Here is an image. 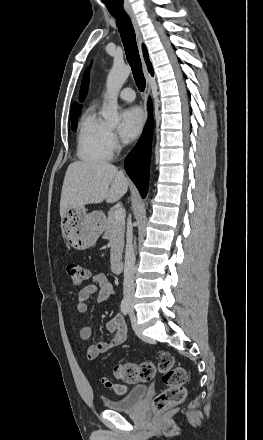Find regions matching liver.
Returning a JSON list of instances; mask_svg holds the SVG:
<instances>
[{
  "label": "liver",
  "mask_w": 263,
  "mask_h": 440,
  "mask_svg": "<svg viewBox=\"0 0 263 440\" xmlns=\"http://www.w3.org/2000/svg\"><path fill=\"white\" fill-rule=\"evenodd\" d=\"M129 180L123 171L107 162L75 161L66 171L60 216L71 207L97 204L106 200L115 203L127 192Z\"/></svg>",
  "instance_id": "obj_1"
}]
</instances>
